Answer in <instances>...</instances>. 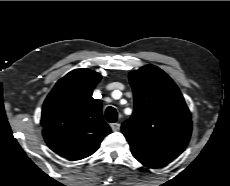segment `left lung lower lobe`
<instances>
[{
	"mask_svg": "<svg viewBox=\"0 0 230 186\" xmlns=\"http://www.w3.org/2000/svg\"><path fill=\"white\" fill-rule=\"evenodd\" d=\"M139 162H141L143 165L154 168V167H159L163 166L165 164L160 163V162H155V161H149V160H144V159H138L136 158Z\"/></svg>",
	"mask_w": 230,
	"mask_h": 186,
	"instance_id": "1",
	"label": "left lung lower lobe"
}]
</instances>
